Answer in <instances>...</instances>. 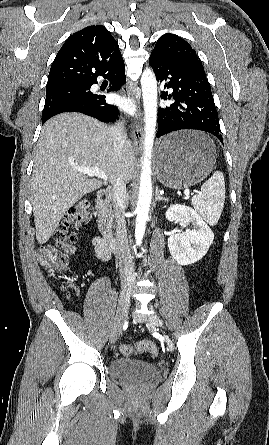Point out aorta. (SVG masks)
I'll return each mask as SVG.
<instances>
[{
  "mask_svg": "<svg viewBox=\"0 0 269 445\" xmlns=\"http://www.w3.org/2000/svg\"><path fill=\"white\" fill-rule=\"evenodd\" d=\"M141 87L144 105V155L140 177V189L136 207V244L141 245L152 199L151 155L154 144L157 122V81L150 69L144 70L141 76Z\"/></svg>",
  "mask_w": 269,
  "mask_h": 445,
  "instance_id": "aorta-1",
  "label": "aorta"
}]
</instances>
